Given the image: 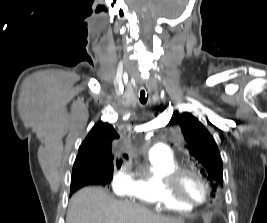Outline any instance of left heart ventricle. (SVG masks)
Listing matches in <instances>:
<instances>
[{
  "label": "left heart ventricle",
  "mask_w": 267,
  "mask_h": 223,
  "mask_svg": "<svg viewBox=\"0 0 267 223\" xmlns=\"http://www.w3.org/2000/svg\"><path fill=\"white\" fill-rule=\"evenodd\" d=\"M182 194L194 201H200L204 197V188L201 182L193 175H185L180 183Z\"/></svg>",
  "instance_id": "1"
}]
</instances>
